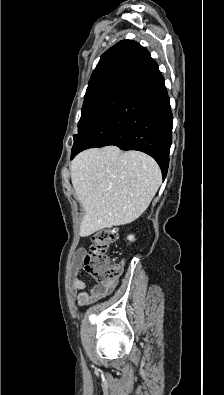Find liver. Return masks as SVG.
Segmentation results:
<instances>
[{"label": "liver", "instance_id": "1", "mask_svg": "<svg viewBox=\"0 0 224 395\" xmlns=\"http://www.w3.org/2000/svg\"><path fill=\"white\" fill-rule=\"evenodd\" d=\"M71 180L84 211L79 235L87 237L141 216L162 176L152 157L107 146L79 153L71 163Z\"/></svg>", "mask_w": 224, "mask_h": 395}]
</instances>
